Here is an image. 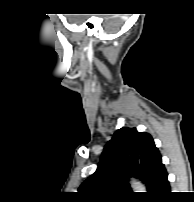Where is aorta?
Returning <instances> with one entry per match:
<instances>
[{"mask_svg": "<svg viewBox=\"0 0 194 202\" xmlns=\"http://www.w3.org/2000/svg\"><path fill=\"white\" fill-rule=\"evenodd\" d=\"M131 184H132V187L136 190H143L144 189L143 185L137 181H132Z\"/></svg>", "mask_w": 194, "mask_h": 202, "instance_id": "obj_1", "label": "aorta"}]
</instances>
